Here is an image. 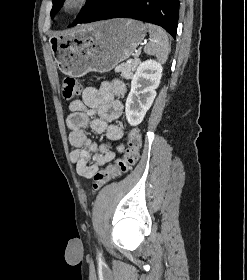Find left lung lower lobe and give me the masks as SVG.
<instances>
[{
	"instance_id": "left-lung-lower-lobe-1",
	"label": "left lung lower lobe",
	"mask_w": 247,
	"mask_h": 280,
	"mask_svg": "<svg viewBox=\"0 0 247 280\" xmlns=\"http://www.w3.org/2000/svg\"><path fill=\"white\" fill-rule=\"evenodd\" d=\"M119 17L159 25L175 38L179 19V0H107L78 23Z\"/></svg>"
}]
</instances>
